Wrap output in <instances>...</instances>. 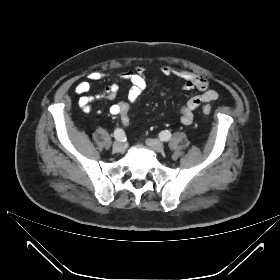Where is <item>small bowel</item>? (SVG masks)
I'll list each match as a JSON object with an SVG mask.
<instances>
[{"mask_svg": "<svg viewBox=\"0 0 280 280\" xmlns=\"http://www.w3.org/2000/svg\"><path fill=\"white\" fill-rule=\"evenodd\" d=\"M160 72L166 77H177L181 82V88L183 90L195 89L199 91V94L188 99L187 102L179 109V120L184 125H189L192 123L194 111L196 109L204 104L218 99L219 97V94L216 90L209 88V81L200 74L170 65L161 66ZM106 78L128 81L131 84L127 95L128 102H119L110 107V113L112 115L118 116L122 125L126 127L130 123V106L138 101L141 93L147 86L146 68L142 65H139L133 70L119 74H108L99 70L89 72L87 75L88 80L78 82L74 88L75 92L80 95L78 99V105L84 112H91L92 104L96 100L115 99L119 89L116 83L106 86L100 93L94 96L89 95L91 83Z\"/></svg>", "mask_w": 280, "mask_h": 280, "instance_id": "1", "label": "small bowel"}]
</instances>
